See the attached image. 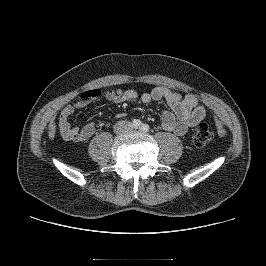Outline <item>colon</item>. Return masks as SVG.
<instances>
[{
  "label": "colon",
  "mask_w": 266,
  "mask_h": 266,
  "mask_svg": "<svg viewBox=\"0 0 266 266\" xmlns=\"http://www.w3.org/2000/svg\"><path fill=\"white\" fill-rule=\"evenodd\" d=\"M213 132L207 123H200L193 134V144L203 147L213 139Z\"/></svg>",
  "instance_id": "colon-1"
}]
</instances>
